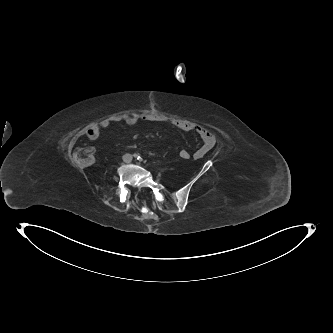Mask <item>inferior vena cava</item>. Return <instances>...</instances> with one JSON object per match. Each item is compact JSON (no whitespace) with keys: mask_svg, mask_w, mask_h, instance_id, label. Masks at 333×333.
I'll return each instance as SVG.
<instances>
[{"mask_svg":"<svg viewBox=\"0 0 333 333\" xmlns=\"http://www.w3.org/2000/svg\"><path fill=\"white\" fill-rule=\"evenodd\" d=\"M132 155L131 154H129V153H126L124 156H123V160H124V162H126V163H130V162H132Z\"/></svg>","mask_w":333,"mask_h":333,"instance_id":"obj_1","label":"inferior vena cava"}]
</instances>
